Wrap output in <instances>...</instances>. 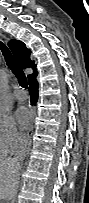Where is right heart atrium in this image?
<instances>
[{
    "label": "right heart atrium",
    "mask_w": 89,
    "mask_h": 203,
    "mask_svg": "<svg viewBox=\"0 0 89 203\" xmlns=\"http://www.w3.org/2000/svg\"><path fill=\"white\" fill-rule=\"evenodd\" d=\"M25 140L24 134L17 128L14 119L8 115L0 117V144L7 153L17 150Z\"/></svg>",
    "instance_id": "obj_1"
}]
</instances>
